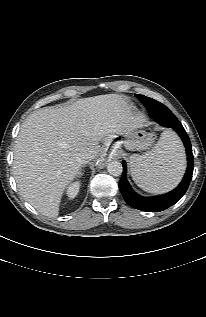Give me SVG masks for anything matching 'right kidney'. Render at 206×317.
Listing matches in <instances>:
<instances>
[{
	"mask_svg": "<svg viewBox=\"0 0 206 317\" xmlns=\"http://www.w3.org/2000/svg\"><path fill=\"white\" fill-rule=\"evenodd\" d=\"M79 187H80V182H73L72 184L69 185L68 189H67V196L70 199H73L76 197V195L79 192Z\"/></svg>",
	"mask_w": 206,
	"mask_h": 317,
	"instance_id": "right-kidney-1",
	"label": "right kidney"
}]
</instances>
